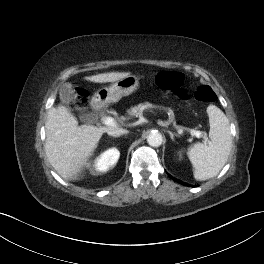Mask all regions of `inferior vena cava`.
Masks as SVG:
<instances>
[{"instance_id":"obj_1","label":"inferior vena cava","mask_w":264,"mask_h":264,"mask_svg":"<svg viewBox=\"0 0 264 264\" xmlns=\"http://www.w3.org/2000/svg\"><path fill=\"white\" fill-rule=\"evenodd\" d=\"M107 133L110 136H117V135L127 134L128 131L123 128H116V129L109 130Z\"/></svg>"}]
</instances>
